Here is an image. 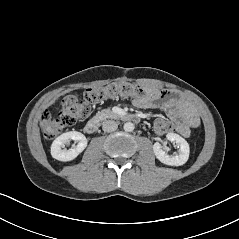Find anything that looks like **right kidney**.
Returning <instances> with one entry per match:
<instances>
[{"label":"right kidney","instance_id":"ca27d5eb","mask_svg":"<svg viewBox=\"0 0 239 239\" xmlns=\"http://www.w3.org/2000/svg\"><path fill=\"white\" fill-rule=\"evenodd\" d=\"M74 140L78 144L71 149H66L65 144ZM87 146L86 137L77 131H70L58 136L51 145V155L59 161L74 160Z\"/></svg>","mask_w":239,"mask_h":239}]
</instances>
